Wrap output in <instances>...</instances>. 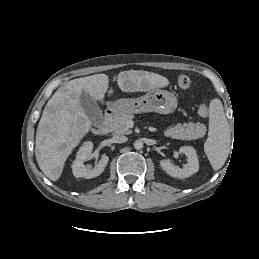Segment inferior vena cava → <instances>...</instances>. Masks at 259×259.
I'll use <instances>...</instances> for the list:
<instances>
[{
  "mask_svg": "<svg viewBox=\"0 0 259 259\" xmlns=\"http://www.w3.org/2000/svg\"><path fill=\"white\" fill-rule=\"evenodd\" d=\"M128 140L126 136L123 135H115L113 136L114 143H125Z\"/></svg>",
  "mask_w": 259,
  "mask_h": 259,
  "instance_id": "1",
  "label": "inferior vena cava"
}]
</instances>
